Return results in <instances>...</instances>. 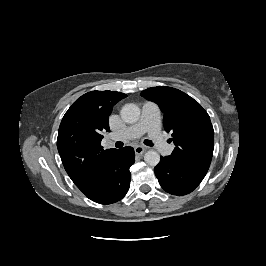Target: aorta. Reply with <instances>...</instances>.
Instances as JSON below:
<instances>
[{"mask_svg":"<svg viewBox=\"0 0 266 266\" xmlns=\"http://www.w3.org/2000/svg\"><path fill=\"white\" fill-rule=\"evenodd\" d=\"M121 118L126 123H135L140 117V109L135 104H126L121 109ZM144 161L150 166H156L160 162V155L154 151L149 150L144 155Z\"/></svg>","mask_w":266,"mask_h":266,"instance_id":"1","label":"aorta"}]
</instances>
